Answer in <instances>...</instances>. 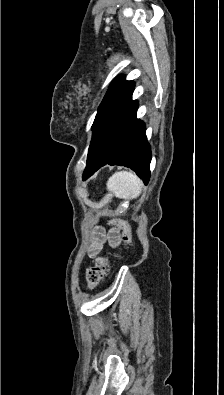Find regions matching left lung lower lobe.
<instances>
[{"mask_svg":"<svg viewBox=\"0 0 224 395\" xmlns=\"http://www.w3.org/2000/svg\"><path fill=\"white\" fill-rule=\"evenodd\" d=\"M131 82L101 108L93 123L84 179L105 164L133 169L145 184L150 177L151 150L143 122L136 118L138 104L132 101Z\"/></svg>","mask_w":224,"mask_h":395,"instance_id":"1","label":"left lung lower lobe"}]
</instances>
